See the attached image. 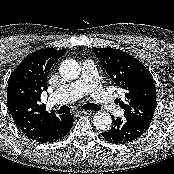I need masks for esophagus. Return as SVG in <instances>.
<instances>
[{
  "instance_id": "1",
  "label": "esophagus",
  "mask_w": 174,
  "mask_h": 174,
  "mask_svg": "<svg viewBox=\"0 0 174 174\" xmlns=\"http://www.w3.org/2000/svg\"><path fill=\"white\" fill-rule=\"evenodd\" d=\"M80 113L90 116V115L94 114V111H91V110H82V111H80Z\"/></svg>"
}]
</instances>
